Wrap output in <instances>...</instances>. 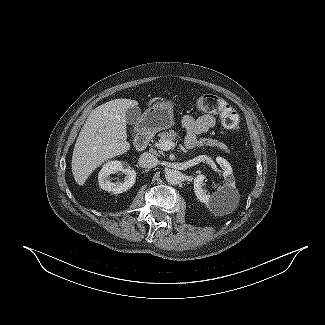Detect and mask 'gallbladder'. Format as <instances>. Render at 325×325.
I'll return each mask as SVG.
<instances>
[{
  "label": "gallbladder",
  "instance_id": "gallbladder-1",
  "mask_svg": "<svg viewBox=\"0 0 325 325\" xmlns=\"http://www.w3.org/2000/svg\"><path fill=\"white\" fill-rule=\"evenodd\" d=\"M141 112L139 107H131L126 112V121L127 123L134 125L138 122Z\"/></svg>",
  "mask_w": 325,
  "mask_h": 325
}]
</instances>
